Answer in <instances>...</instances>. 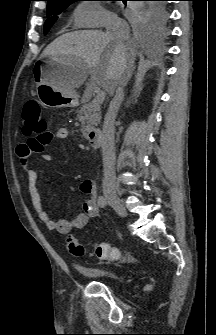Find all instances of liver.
Returning <instances> with one entry per match:
<instances>
[{
	"label": "liver",
	"instance_id": "1",
	"mask_svg": "<svg viewBox=\"0 0 216 335\" xmlns=\"http://www.w3.org/2000/svg\"><path fill=\"white\" fill-rule=\"evenodd\" d=\"M136 44L131 41L118 43L100 30H82L65 33L56 38L43 51L42 57L72 58L66 73V91H74L91 75L90 85L114 91L121 61L131 63L136 55Z\"/></svg>",
	"mask_w": 216,
	"mask_h": 335
}]
</instances>
